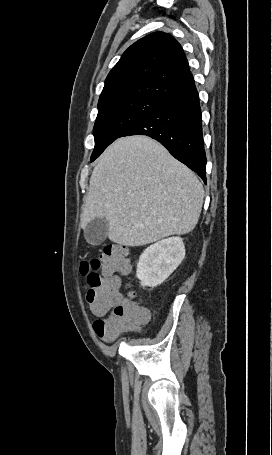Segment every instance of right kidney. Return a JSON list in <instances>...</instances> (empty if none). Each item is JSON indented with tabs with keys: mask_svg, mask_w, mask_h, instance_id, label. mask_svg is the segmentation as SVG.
I'll return each mask as SVG.
<instances>
[{
	"mask_svg": "<svg viewBox=\"0 0 272 455\" xmlns=\"http://www.w3.org/2000/svg\"><path fill=\"white\" fill-rule=\"evenodd\" d=\"M185 258V246L180 237H171L146 248L139 258L136 276L143 287L163 283Z\"/></svg>",
	"mask_w": 272,
	"mask_h": 455,
	"instance_id": "right-kidney-1",
	"label": "right kidney"
}]
</instances>
